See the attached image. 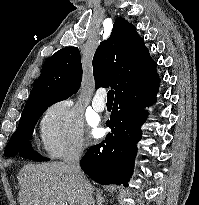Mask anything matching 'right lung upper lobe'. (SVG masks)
I'll use <instances>...</instances> for the list:
<instances>
[{
  "label": "right lung upper lobe",
  "mask_w": 199,
  "mask_h": 205,
  "mask_svg": "<svg viewBox=\"0 0 199 205\" xmlns=\"http://www.w3.org/2000/svg\"><path fill=\"white\" fill-rule=\"evenodd\" d=\"M154 70L156 63L136 28L124 18H117L110 37L101 42L93 57L95 88L110 86L117 94L133 80ZM81 80L79 49L62 48L45 61L27 103L67 99L78 91Z\"/></svg>",
  "instance_id": "1"
}]
</instances>
